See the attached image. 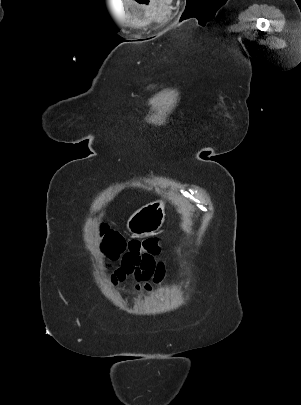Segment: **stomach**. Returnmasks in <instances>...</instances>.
<instances>
[{"mask_svg": "<svg viewBox=\"0 0 301 405\" xmlns=\"http://www.w3.org/2000/svg\"><path fill=\"white\" fill-rule=\"evenodd\" d=\"M164 221V204L152 202L137 210L128 220L127 229L134 236H146L155 233Z\"/></svg>", "mask_w": 301, "mask_h": 405, "instance_id": "1", "label": "stomach"}]
</instances>
